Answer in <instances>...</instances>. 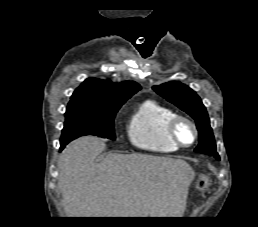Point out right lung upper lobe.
I'll return each mask as SVG.
<instances>
[{
    "mask_svg": "<svg viewBox=\"0 0 258 227\" xmlns=\"http://www.w3.org/2000/svg\"><path fill=\"white\" fill-rule=\"evenodd\" d=\"M138 90L140 85L132 81L113 84L110 81L88 78L74 91L69 103L113 107L124 104Z\"/></svg>",
    "mask_w": 258,
    "mask_h": 227,
    "instance_id": "obj_1",
    "label": "right lung upper lobe"
}]
</instances>
